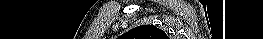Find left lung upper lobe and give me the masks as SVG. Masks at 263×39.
Returning a JSON list of instances; mask_svg holds the SVG:
<instances>
[{"label":"left lung upper lobe","mask_w":263,"mask_h":39,"mask_svg":"<svg viewBox=\"0 0 263 39\" xmlns=\"http://www.w3.org/2000/svg\"><path fill=\"white\" fill-rule=\"evenodd\" d=\"M121 39H169V37L156 26L142 25L126 32Z\"/></svg>","instance_id":"left-lung-upper-lobe-1"}]
</instances>
